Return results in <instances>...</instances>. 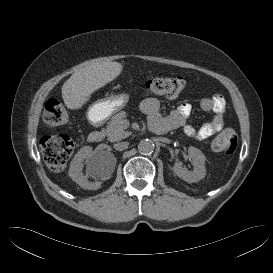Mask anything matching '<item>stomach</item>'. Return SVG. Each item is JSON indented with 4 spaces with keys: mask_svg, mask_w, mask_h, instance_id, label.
<instances>
[{
    "mask_svg": "<svg viewBox=\"0 0 273 273\" xmlns=\"http://www.w3.org/2000/svg\"><path fill=\"white\" fill-rule=\"evenodd\" d=\"M128 101L129 96L125 93L115 94L100 99L89 106L86 115L87 119L92 124L102 123L123 109Z\"/></svg>",
    "mask_w": 273,
    "mask_h": 273,
    "instance_id": "0dacf381",
    "label": "stomach"
}]
</instances>
